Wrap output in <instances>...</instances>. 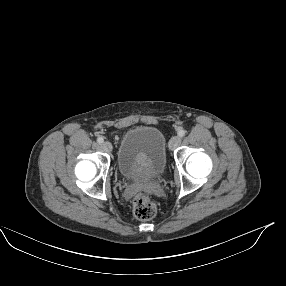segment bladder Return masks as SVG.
Returning a JSON list of instances; mask_svg holds the SVG:
<instances>
[{"label": "bladder", "instance_id": "31cf9c89", "mask_svg": "<svg viewBox=\"0 0 286 286\" xmlns=\"http://www.w3.org/2000/svg\"><path fill=\"white\" fill-rule=\"evenodd\" d=\"M166 163V139L159 129L139 126L123 134L117 152V166L124 179L149 181L158 178Z\"/></svg>", "mask_w": 286, "mask_h": 286}]
</instances>
